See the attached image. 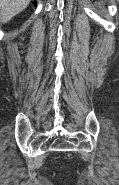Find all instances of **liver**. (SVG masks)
Masks as SVG:
<instances>
[{"mask_svg": "<svg viewBox=\"0 0 119 185\" xmlns=\"http://www.w3.org/2000/svg\"><path fill=\"white\" fill-rule=\"evenodd\" d=\"M31 0H0L2 13L0 19L3 23L10 21L15 15L23 11Z\"/></svg>", "mask_w": 119, "mask_h": 185, "instance_id": "liver-1", "label": "liver"}]
</instances>
